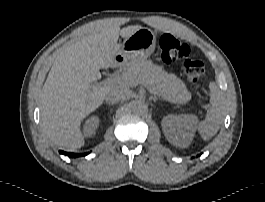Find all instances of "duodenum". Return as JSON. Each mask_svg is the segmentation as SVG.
Wrapping results in <instances>:
<instances>
[{"label":"duodenum","mask_w":265,"mask_h":202,"mask_svg":"<svg viewBox=\"0 0 265 202\" xmlns=\"http://www.w3.org/2000/svg\"><path fill=\"white\" fill-rule=\"evenodd\" d=\"M123 60L124 58L121 55H116L112 64V68L117 70L122 65Z\"/></svg>","instance_id":"410a0bca"}]
</instances>
